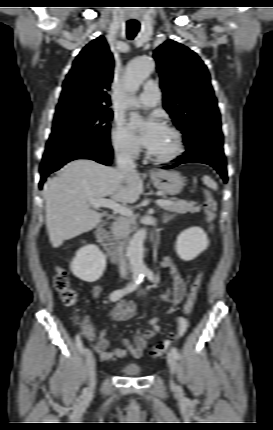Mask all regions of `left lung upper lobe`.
<instances>
[{"mask_svg":"<svg viewBox=\"0 0 273 430\" xmlns=\"http://www.w3.org/2000/svg\"><path fill=\"white\" fill-rule=\"evenodd\" d=\"M163 105L183 138L204 124L220 129V112L207 67L198 55L173 40L154 51Z\"/></svg>","mask_w":273,"mask_h":430,"instance_id":"left-lung-upper-lobe-1","label":"left lung upper lobe"}]
</instances>
